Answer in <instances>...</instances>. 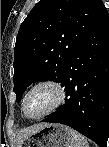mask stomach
Here are the masks:
<instances>
[{
	"instance_id": "0dacf381",
	"label": "stomach",
	"mask_w": 109,
	"mask_h": 147,
	"mask_svg": "<svg viewBox=\"0 0 109 147\" xmlns=\"http://www.w3.org/2000/svg\"><path fill=\"white\" fill-rule=\"evenodd\" d=\"M20 147H71V129L65 125L47 124L24 138Z\"/></svg>"
}]
</instances>
